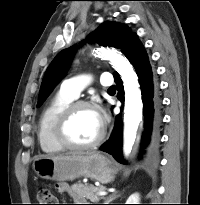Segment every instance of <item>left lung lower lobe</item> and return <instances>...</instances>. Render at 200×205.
Instances as JSON below:
<instances>
[{
	"instance_id": "obj_1",
	"label": "left lung lower lobe",
	"mask_w": 200,
	"mask_h": 205,
	"mask_svg": "<svg viewBox=\"0 0 200 205\" xmlns=\"http://www.w3.org/2000/svg\"><path fill=\"white\" fill-rule=\"evenodd\" d=\"M124 54L136 70L144 104L143 160L149 165H154L158 160L161 125V101L158 86L153 79L147 53L136 34L131 38ZM113 76L119 91L118 99L123 103L124 90L121 78L117 72H114ZM101 150L111 154L118 162L125 163L122 157V121L120 114L116 117L115 126L109 140L101 146Z\"/></svg>"
}]
</instances>
